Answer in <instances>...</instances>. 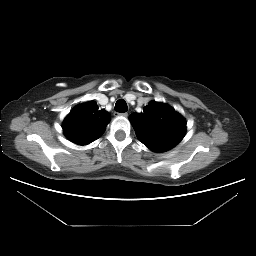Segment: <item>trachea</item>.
<instances>
[{"instance_id": "1", "label": "trachea", "mask_w": 256, "mask_h": 256, "mask_svg": "<svg viewBox=\"0 0 256 256\" xmlns=\"http://www.w3.org/2000/svg\"><path fill=\"white\" fill-rule=\"evenodd\" d=\"M115 111H117L119 113H125V112L128 111V106H127V103L124 99H119L115 103Z\"/></svg>"}]
</instances>
